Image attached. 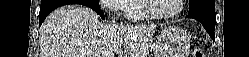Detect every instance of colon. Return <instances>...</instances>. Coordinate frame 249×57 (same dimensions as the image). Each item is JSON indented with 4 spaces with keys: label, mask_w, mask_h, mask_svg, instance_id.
<instances>
[{
    "label": "colon",
    "mask_w": 249,
    "mask_h": 57,
    "mask_svg": "<svg viewBox=\"0 0 249 57\" xmlns=\"http://www.w3.org/2000/svg\"><path fill=\"white\" fill-rule=\"evenodd\" d=\"M192 57H204V54L201 50H194Z\"/></svg>",
    "instance_id": "1"
}]
</instances>
